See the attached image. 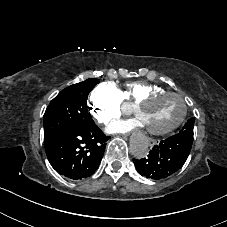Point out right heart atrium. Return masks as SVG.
Listing matches in <instances>:
<instances>
[{"instance_id":"d8ad5b80","label":"right heart atrium","mask_w":227,"mask_h":227,"mask_svg":"<svg viewBox=\"0 0 227 227\" xmlns=\"http://www.w3.org/2000/svg\"><path fill=\"white\" fill-rule=\"evenodd\" d=\"M92 115L101 124L116 122L122 114L123 102L120 90L112 82H104L90 94Z\"/></svg>"}]
</instances>
